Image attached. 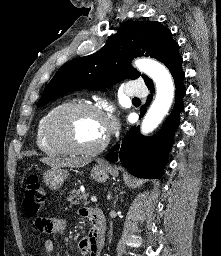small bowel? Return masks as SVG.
I'll use <instances>...</instances> for the list:
<instances>
[{
    "instance_id": "obj_1",
    "label": "small bowel",
    "mask_w": 221,
    "mask_h": 256,
    "mask_svg": "<svg viewBox=\"0 0 221 256\" xmlns=\"http://www.w3.org/2000/svg\"><path fill=\"white\" fill-rule=\"evenodd\" d=\"M95 209L85 208L80 210V214L92 221V215ZM36 230L51 234H61L66 229L64 218L55 216L48 219L37 218L34 222ZM103 241L97 240L92 235V226L88 236L79 241V250L83 256H100ZM44 256H53L54 244L51 240H45L43 243Z\"/></svg>"
}]
</instances>
